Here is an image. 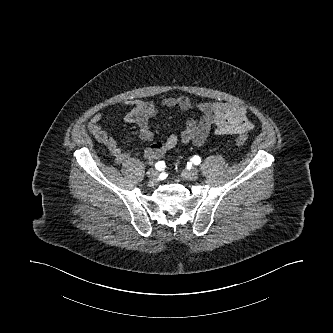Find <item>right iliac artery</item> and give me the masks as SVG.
Wrapping results in <instances>:
<instances>
[{"mask_svg":"<svg viewBox=\"0 0 333 333\" xmlns=\"http://www.w3.org/2000/svg\"><path fill=\"white\" fill-rule=\"evenodd\" d=\"M164 165L165 164L163 162H158V163L155 164V168L157 170H162L164 168Z\"/></svg>","mask_w":333,"mask_h":333,"instance_id":"82829eb1","label":"right iliac artery"}]
</instances>
